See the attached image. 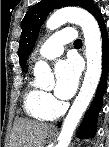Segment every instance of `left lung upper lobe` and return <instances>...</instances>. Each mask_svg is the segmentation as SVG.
<instances>
[{
    "label": "left lung upper lobe",
    "mask_w": 109,
    "mask_h": 147,
    "mask_svg": "<svg viewBox=\"0 0 109 147\" xmlns=\"http://www.w3.org/2000/svg\"><path fill=\"white\" fill-rule=\"evenodd\" d=\"M65 6H80L89 12L96 7L93 0H42L33 5L21 22L22 34L18 53L23 69H25L28 56L35 45L40 27L46 20L49 12Z\"/></svg>",
    "instance_id": "left-lung-upper-lobe-1"
}]
</instances>
